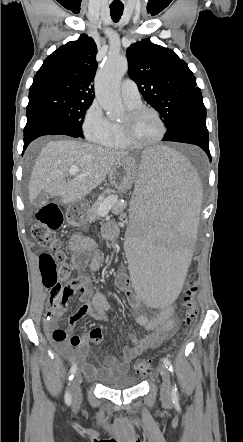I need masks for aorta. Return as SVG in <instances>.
<instances>
[{
  "instance_id": "762f6f07",
  "label": "aorta",
  "mask_w": 243,
  "mask_h": 442,
  "mask_svg": "<svg viewBox=\"0 0 243 442\" xmlns=\"http://www.w3.org/2000/svg\"><path fill=\"white\" fill-rule=\"evenodd\" d=\"M128 70L127 59L120 55H109L95 78V95L109 117L123 111L119 82Z\"/></svg>"
}]
</instances>
